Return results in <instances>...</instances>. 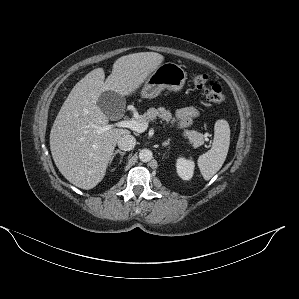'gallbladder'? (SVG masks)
<instances>
[{
  "instance_id": "gallbladder-1",
  "label": "gallbladder",
  "mask_w": 299,
  "mask_h": 299,
  "mask_svg": "<svg viewBox=\"0 0 299 299\" xmlns=\"http://www.w3.org/2000/svg\"><path fill=\"white\" fill-rule=\"evenodd\" d=\"M97 105L108 118L117 119L124 115L126 102L122 95L105 91L99 96Z\"/></svg>"
}]
</instances>
